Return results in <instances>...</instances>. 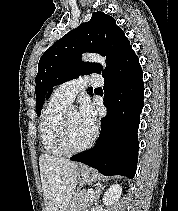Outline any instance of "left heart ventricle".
<instances>
[{
	"label": "left heart ventricle",
	"mask_w": 178,
	"mask_h": 211,
	"mask_svg": "<svg viewBox=\"0 0 178 211\" xmlns=\"http://www.w3.org/2000/svg\"><path fill=\"white\" fill-rule=\"evenodd\" d=\"M69 140L73 147L84 145L91 137L92 132L82 124L79 113L75 110L68 113Z\"/></svg>",
	"instance_id": "1"
}]
</instances>
